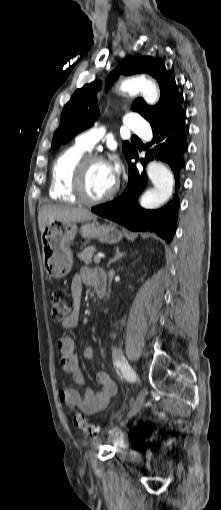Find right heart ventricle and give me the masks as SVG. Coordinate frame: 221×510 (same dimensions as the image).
I'll list each match as a JSON object with an SVG mask.
<instances>
[{"instance_id": "obj_1", "label": "right heart ventricle", "mask_w": 221, "mask_h": 510, "mask_svg": "<svg viewBox=\"0 0 221 510\" xmlns=\"http://www.w3.org/2000/svg\"><path fill=\"white\" fill-rule=\"evenodd\" d=\"M88 150L74 143L59 153L53 162L49 195L54 200L76 203L78 200L70 186L73 168Z\"/></svg>"}]
</instances>
